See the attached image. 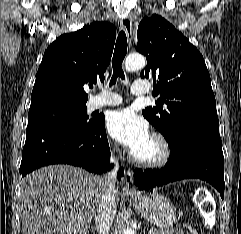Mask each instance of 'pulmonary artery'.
I'll list each match as a JSON object with an SVG mask.
<instances>
[{
    "label": "pulmonary artery",
    "mask_w": 241,
    "mask_h": 234,
    "mask_svg": "<svg viewBox=\"0 0 241 234\" xmlns=\"http://www.w3.org/2000/svg\"><path fill=\"white\" fill-rule=\"evenodd\" d=\"M150 88L147 84L142 82H135L132 86L131 92L134 95H145ZM122 103V98L116 93H111L102 89L101 94L93 97L89 101V108L91 110L100 109L106 106H115Z\"/></svg>",
    "instance_id": "e3ab8cb5"
}]
</instances>
